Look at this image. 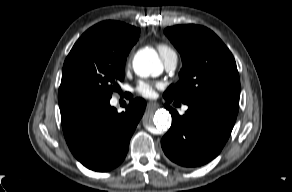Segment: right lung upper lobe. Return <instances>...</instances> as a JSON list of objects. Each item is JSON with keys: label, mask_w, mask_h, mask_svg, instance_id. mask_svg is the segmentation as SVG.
<instances>
[{"label": "right lung upper lobe", "mask_w": 292, "mask_h": 192, "mask_svg": "<svg viewBox=\"0 0 292 192\" xmlns=\"http://www.w3.org/2000/svg\"><path fill=\"white\" fill-rule=\"evenodd\" d=\"M91 29L96 30L104 43L117 52L130 51L139 38L140 29L117 21H104Z\"/></svg>", "instance_id": "right-lung-upper-lobe-1"}]
</instances>
